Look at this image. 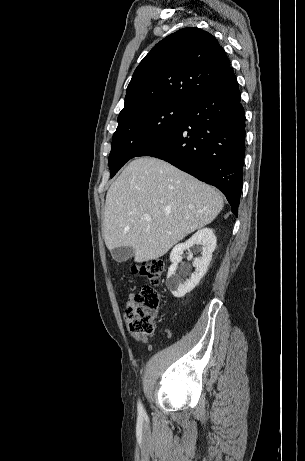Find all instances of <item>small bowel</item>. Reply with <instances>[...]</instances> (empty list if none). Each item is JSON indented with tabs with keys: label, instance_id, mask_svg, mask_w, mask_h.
<instances>
[{
	"label": "small bowel",
	"instance_id": "c3829d8e",
	"mask_svg": "<svg viewBox=\"0 0 305 461\" xmlns=\"http://www.w3.org/2000/svg\"><path fill=\"white\" fill-rule=\"evenodd\" d=\"M134 296H135L134 293H129V294H128L127 301H126V308H127V306L131 303V301L133 300ZM135 338H136L137 340H141V341H145V340H146L145 336H141V335H136Z\"/></svg>",
	"mask_w": 305,
	"mask_h": 461
}]
</instances>
